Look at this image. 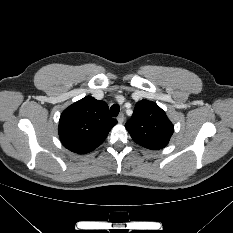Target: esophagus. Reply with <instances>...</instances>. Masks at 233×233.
I'll use <instances>...</instances> for the list:
<instances>
[{"mask_svg": "<svg viewBox=\"0 0 233 233\" xmlns=\"http://www.w3.org/2000/svg\"><path fill=\"white\" fill-rule=\"evenodd\" d=\"M117 121L119 124H122L124 122V114L123 113L119 114V116L117 117Z\"/></svg>", "mask_w": 233, "mask_h": 233, "instance_id": "obj_1", "label": "esophagus"}]
</instances>
